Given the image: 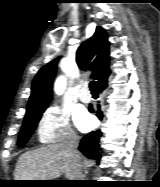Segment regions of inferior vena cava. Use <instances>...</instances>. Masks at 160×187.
Instances as JSON below:
<instances>
[{
	"mask_svg": "<svg viewBox=\"0 0 160 187\" xmlns=\"http://www.w3.org/2000/svg\"><path fill=\"white\" fill-rule=\"evenodd\" d=\"M78 137L74 133H70L67 141L65 142L66 150L73 156L78 166V180L83 179L82 164L80 154L77 150L78 147Z\"/></svg>",
	"mask_w": 160,
	"mask_h": 187,
	"instance_id": "obj_1",
	"label": "inferior vena cava"
}]
</instances>
